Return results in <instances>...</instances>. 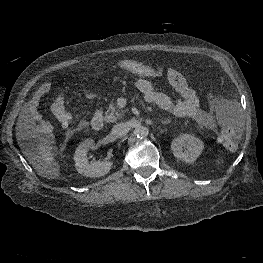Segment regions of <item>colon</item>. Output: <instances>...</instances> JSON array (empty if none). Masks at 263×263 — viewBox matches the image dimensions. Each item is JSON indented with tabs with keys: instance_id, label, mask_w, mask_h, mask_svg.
Returning <instances> with one entry per match:
<instances>
[{
	"instance_id": "5ec220e1",
	"label": "colon",
	"mask_w": 263,
	"mask_h": 263,
	"mask_svg": "<svg viewBox=\"0 0 263 263\" xmlns=\"http://www.w3.org/2000/svg\"><path fill=\"white\" fill-rule=\"evenodd\" d=\"M117 66L143 76L158 77L164 75V70L133 59H121L117 61ZM54 114L64 127H70L72 125L71 114L65 107H61L57 102L54 104ZM219 137L227 150L235 151L237 149L240 138L237 129L225 125L221 129Z\"/></svg>"
}]
</instances>
